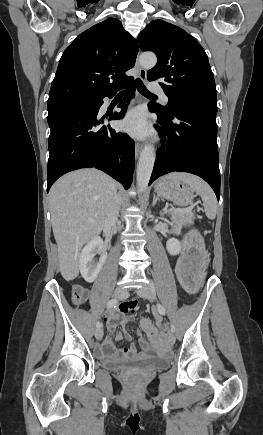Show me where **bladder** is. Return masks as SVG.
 <instances>
[{"label": "bladder", "instance_id": "bladder-1", "mask_svg": "<svg viewBox=\"0 0 263 435\" xmlns=\"http://www.w3.org/2000/svg\"><path fill=\"white\" fill-rule=\"evenodd\" d=\"M169 363L167 357L149 356L134 360H109L103 362V367L109 370L123 369L128 366H135L144 369H160Z\"/></svg>", "mask_w": 263, "mask_h": 435}]
</instances>
